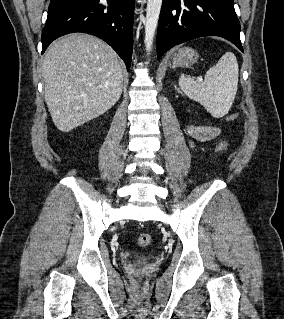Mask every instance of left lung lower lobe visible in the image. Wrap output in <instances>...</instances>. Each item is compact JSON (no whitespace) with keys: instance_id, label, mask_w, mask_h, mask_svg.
Instances as JSON below:
<instances>
[{"instance_id":"obj_1","label":"left lung lower lobe","mask_w":284,"mask_h":319,"mask_svg":"<svg viewBox=\"0 0 284 319\" xmlns=\"http://www.w3.org/2000/svg\"><path fill=\"white\" fill-rule=\"evenodd\" d=\"M203 36L223 37L243 52L233 0H163L157 32L158 59L175 45Z\"/></svg>"}]
</instances>
